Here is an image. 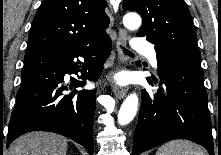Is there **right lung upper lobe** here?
<instances>
[{"instance_id":"obj_1","label":"right lung upper lobe","mask_w":221,"mask_h":155,"mask_svg":"<svg viewBox=\"0 0 221 155\" xmlns=\"http://www.w3.org/2000/svg\"><path fill=\"white\" fill-rule=\"evenodd\" d=\"M105 0H44L29 33L27 51L41 47H82L108 36Z\"/></svg>"}]
</instances>
